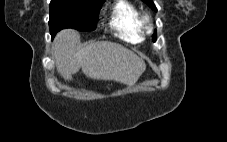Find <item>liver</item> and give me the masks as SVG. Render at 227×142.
<instances>
[{"mask_svg": "<svg viewBox=\"0 0 227 142\" xmlns=\"http://www.w3.org/2000/svg\"><path fill=\"white\" fill-rule=\"evenodd\" d=\"M79 34L75 30L60 31L54 38L52 51L58 73L71 80L80 69L89 78L111 80L133 86L146 69L145 62L124 46L100 41L77 48Z\"/></svg>", "mask_w": 227, "mask_h": 142, "instance_id": "6515ba94", "label": "liver"}]
</instances>
